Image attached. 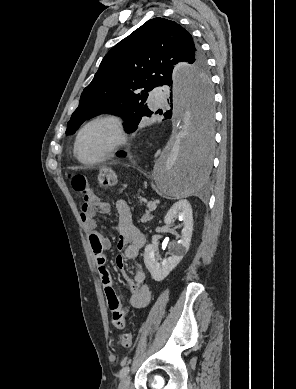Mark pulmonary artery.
Instances as JSON below:
<instances>
[{
    "mask_svg": "<svg viewBox=\"0 0 296 389\" xmlns=\"http://www.w3.org/2000/svg\"><path fill=\"white\" fill-rule=\"evenodd\" d=\"M151 97L153 101V105L158 107L165 104L166 101V95L160 88H155L151 92Z\"/></svg>",
    "mask_w": 296,
    "mask_h": 389,
    "instance_id": "obj_1",
    "label": "pulmonary artery"
}]
</instances>
